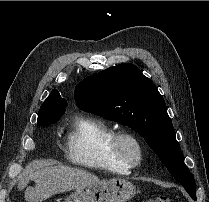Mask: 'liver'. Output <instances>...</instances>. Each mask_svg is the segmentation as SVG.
<instances>
[{"instance_id":"obj_1","label":"liver","mask_w":209,"mask_h":202,"mask_svg":"<svg viewBox=\"0 0 209 202\" xmlns=\"http://www.w3.org/2000/svg\"><path fill=\"white\" fill-rule=\"evenodd\" d=\"M35 187H27L29 181ZM99 178L85 170L66 166H45L34 161L19 176L18 189L25 191L27 202H42L51 196L99 182Z\"/></svg>"}]
</instances>
